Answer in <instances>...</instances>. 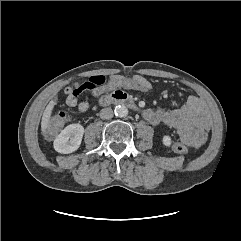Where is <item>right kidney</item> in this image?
Returning <instances> with one entry per match:
<instances>
[{"instance_id": "ca27d5eb", "label": "right kidney", "mask_w": 241, "mask_h": 241, "mask_svg": "<svg viewBox=\"0 0 241 241\" xmlns=\"http://www.w3.org/2000/svg\"><path fill=\"white\" fill-rule=\"evenodd\" d=\"M84 134V127L80 124H70L65 127L54 140V149L63 154L76 151Z\"/></svg>"}]
</instances>
